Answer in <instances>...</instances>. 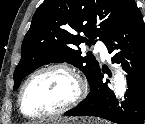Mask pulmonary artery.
Wrapping results in <instances>:
<instances>
[{
  "instance_id": "pulmonary-artery-1",
  "label": "pulmonary artery",
  "mask_w": 145,
  "mask_h": 124,
  "mask_svg": "<svg viewBox=\"0 0 145 124\" xmlns=\"http://www.w3.org/2000/svg\"><path fill=\"white\" fill-rule=\"evenodd\" d=\"M95 50L100 53V55L103 59L109 58L108 51L103 44H101V43L96 44Z\"/></svg>"
}]
</instances>
